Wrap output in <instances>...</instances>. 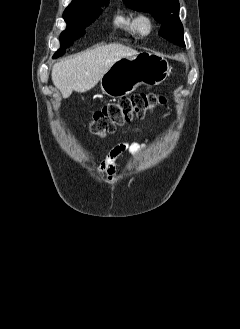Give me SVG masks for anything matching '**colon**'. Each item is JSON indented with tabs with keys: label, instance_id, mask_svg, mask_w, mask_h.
<instances>
[{
	"label": "colon",
	"instance_id": "1",
	"mask_svg": "<svg viewBox=\"0 0 240 329\" xmlns=\"http://www.w3.org/2000/svg\"><path fill=\"white\" fill-rule=\"evenodd\" d=\"M163 102V97L154 93H139L124 97L117 103H110L97 110L91 130L99 135L113 133L117 126L144 118L147 112Z\"/></svg>",
	"mask_w": 240,
	"mask_h": 329
}]
</instances>
